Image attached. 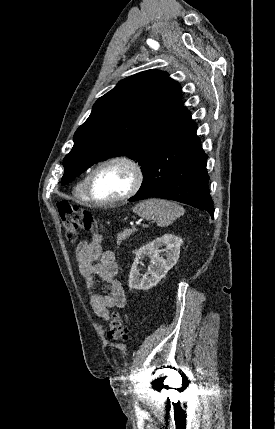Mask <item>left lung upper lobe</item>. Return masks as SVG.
Instances as JSON below:
<instances>
[{
  "label": "left lung upper lobe",
  "mask_w": 275,
  "mask_h": 429,
  "mask_svg": "<svg viewBox=\"0 0 275 429\" xmlns=\"http://www.w3.org/2000/svg\"><path fill=\"white\" fill-rule=\"evenodd\" d=\"M181 97L180 84L164 71L148 70L121 80L95 102L76 130L74 146L63 160L61 184L116 155L136 160L144 172L188 113Z\"/></svg>",
  "instance_id": "left-lung-upper-lobe-1"
}]
</instances>
